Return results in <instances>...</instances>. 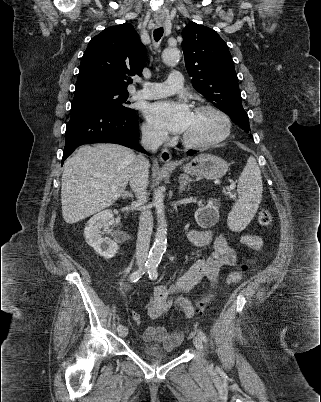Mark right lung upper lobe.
<instances>
[{
  "mask_svg": "<svg viewBox=\"0 0 321 402\" xmlns=\"http://www.w3.org/2000/svg\"><path fill=\"white\" fill-rule=\"evenodd\" d=\"M146 47L131 24L109 27L91 39L81 60L76 84L98 83L126 90L142 75Z\"/></svg>",
  "mask_w": 321,
  "mask_h": 402,
  "instance_id": "obj_1",
  "label": "right lung upper lobe"
}]
</instances>
